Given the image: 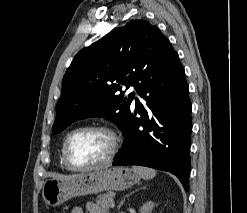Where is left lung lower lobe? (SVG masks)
Listing matches in <instances>:
<instances>
[{"mask_svg":"<svg viewBox=\"0 0 247 213\" xmlns=\"http://www.w3.org/2000/svg\"><path fill=\"white\" fill-rule=\"evenodd\" d=\"M136 90L147 102L149 114L136 99V110L122 130L125 139L113 165H142L171 172L188 191L192 104L178 54L173 52L156 63Z\"/></svg>","mask_w":247,"mask_h":213,"instance_id":"1","label":"left lung lower lobe"}]
</instances>
